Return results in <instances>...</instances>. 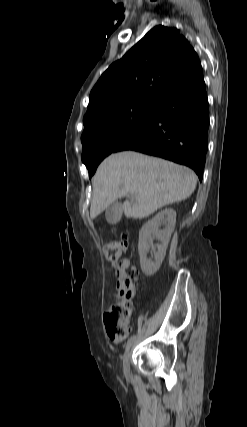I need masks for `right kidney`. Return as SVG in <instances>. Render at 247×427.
Segmentation results:
<instances>
[{
	"label": "right kidney",
	"mask_w": 247,
	"mask_h": 427,
	"mask_svg": "<svg viewBox=\"0 0 247 427\" xmlns=\"http://www.w3.org/2000/svg\"><path fill=\"white\" fill-rule=\"evenodd\" d=\"M175 223L176 211L166 208L146 222L140 229L138 251L141 269L146 276H151L159 270L166 255V249L174 231ZM161 225L165 226L163 230L159 229ZM155 238L160 241V244L157 245V251L153 244V239ZM150 249L154 253V261L147 257Z\"/></svg>",
	"instance_id": "ca27d5eb"
}]
</instances>
